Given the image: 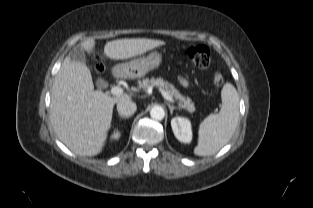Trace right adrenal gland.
<instances>
[{
	"mask_svg": "<svg viewBox=\"0 0 313 208\" xmlns=\"http://www.w3.org/2000/svg\"><path fill=\"white\" fill-rule=\"evenodd\" d=\"M119 117L122 118V119H128L129 118V116H123V115H120V114H119Z\"/></svg>",
	"mask_w": 313,
	"mask_h": 208,
	"instance_id": "1",
	"label": "right adrenal gland"
}]
</instances>
